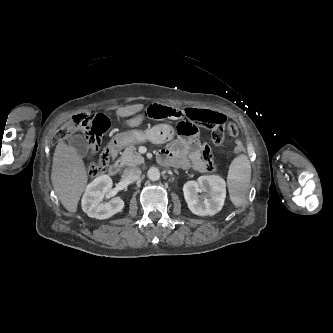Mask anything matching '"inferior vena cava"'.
Here are the masks:
<instances>
[{"label":"inferior vena cava","mask_w":333,"mask_h":333,"mask_svg":"<svg viewBox=\"0 0 333 333\" xmlns=\"http://www.w3.org/2000/svg\"><path fill=\"white\" fill-rule=\"evenodd\" d=\"M141 176V170L138 167L126 168L123 172V179L129 183L138 180Z\"/></svg>","instance_id":"obj_1"}]
</instances>
